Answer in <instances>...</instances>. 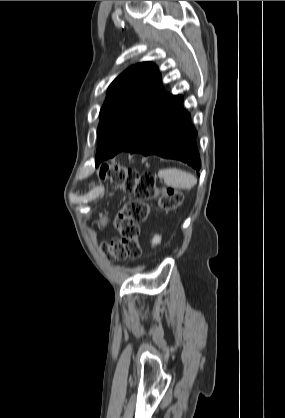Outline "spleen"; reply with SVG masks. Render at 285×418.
<instances>
[{"mask_svg": "<svg viewBox=\"0 0 285 418\" xmlns=\"http://www.w3.org/2000/svg\"><path fill=\"white\" fill-rule=\"evenodd\" d=\"M158 176L164 180L166 185L180 189H191L197 183L194 175L177 168L159 170Z\"/></svg>", "mask_w": 285, "mask_h": 418, "instance_id": "3e777b00", "label": "spleen"}]
</instances>
